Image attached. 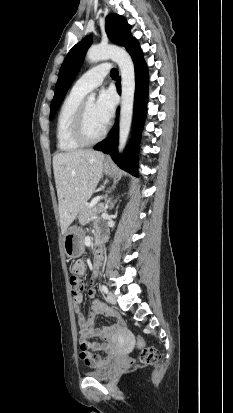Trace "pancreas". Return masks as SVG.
I'll list each match as a JSON object with an SVG mask.
<instances>
[{"label":"pancreas","instance_id":"cf45deb5","mask_svg":"<svg viewBox=\"0 0 233 413\" xmlns=\"http://www.w3.org/2000/svg\"><path fill=\"white\" fill-rule=\"evenodd\" d=\"M102 210H103L102 203L92 208L90 207V204L84 205L79 212V216H78L79 223L81 225H86L87 223L92 221L97 216V214L102 212Z\"/></svg>","mask_w":233,"mask_h":413}]
</instances>
